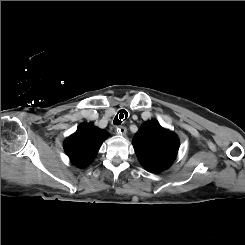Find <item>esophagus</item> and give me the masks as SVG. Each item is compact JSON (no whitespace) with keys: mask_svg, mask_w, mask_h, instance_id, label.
<instances>
[{"mask_svg":"<svg viewBox=\"0 0 245 245\" xmlns=\"http://www.w3.org/2000/svg\"><path fill=\"white\" fill-rule=\"evenodd\" d=\"M116 132H117L118 135L125 136L126 132H127V129L124 126H120V127L116 128Z\"/></svg>","mask_w":245,"mask_h":245,"instance_id":"esophagus-1","label":"esophagus"}]
</instances>
